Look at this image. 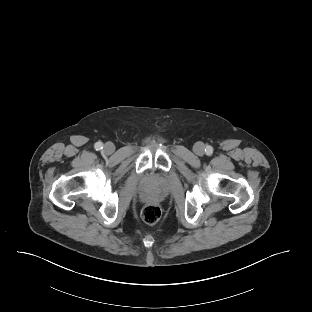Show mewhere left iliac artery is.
<instances>
[{
	"label": "left iliac artery",
	"mask_w": 312,
	"mask_h": 312,
	"mask_svg": "<svg viewBox=\"0 0 312 312\" xmlns=\"http://www.w3.org/2000/svg\"><path fill=\"white\" fill-rule=\"evenodd\" d=\"M205 152L207 155H211L213 153V148L212 146H207L205 149Z\"/></svg>",
	"instance_id": "1"
}]
</instances>
